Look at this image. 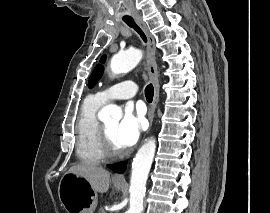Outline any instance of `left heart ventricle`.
Returning <instances> with one entry per match:
<instances>
[{
  "label": "left heart ventricle",
  "mask_w": 270,
  "mask_h": 213,
  "mask_svg": "<svg viewBox=\"0 0 270 213\" xmlns=\"http://www.w3.org/2000/svg\"><path fill=\"white\" fill-rule=\"evenodd\" d=\"M108 135H109V138L113 144V146L118 149V150H121L122 148L120 147V145L118 144L117 140H116V129H117V126H118V122L117 121H112V122H107V123H104L103 124Z\"/></svg>",
  "instance_id": "b2bd125f"
}]
</instances>
